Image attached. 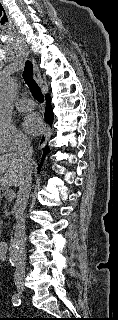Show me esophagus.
Wrapping results in <instances>:
<instances>
[{
	"instance_id": "esophagus-1",
	"label": "esophagus",
	"mask_w": 118,
	"mask_h": 320,
	"mask_svg": "<svg viewBox=\"0 0 118 320\" xmlns=\"http://www.w3.org/2000/svg\"><path fill=\"white\" fill-rule=\"evenodd\" d=\"M32 63H33V66H34V77L36 79V81L38 83H42V78H41V74H40V71L37 67V64H36V61L34 59H32ZM51 134V129H50V126L48 124H45V127H44V132L39 140V144H38V147L39 149H42L45 147V145L47 144V141H48V138Z\"/></svg>"
}]
</instances>
